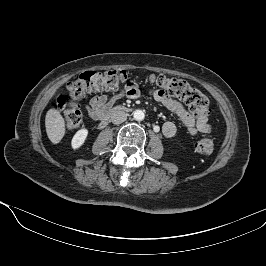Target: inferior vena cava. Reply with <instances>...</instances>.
<instances>
[{"instance_id":"602c4592","label":"inferior vena cava","mask_w":266,"mask_h":266,"mask_svg":"<svg viewBox=\"0 0 266 266\" xmlns=\"http://www.w3.org/2000/svg\"><path fill=\"white\" fill-rule=\"evenodd\" d=\"M127 119V114L124 111H115L111 115V121L113 124H120Z\"/></svg>"}]
</instances>
